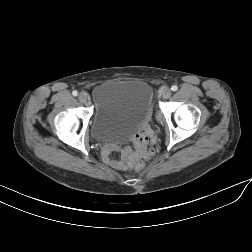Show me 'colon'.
<instances>
[{
	"mask_svg": "<svg viewBox=\"0 0 252 252\" xmlns=\"http://www.w3.org/2000/svg\"><path fill=\"white\" fill-rule=\"evenodd\" d=\"M152 154H153V151L151 150L150 152H148L147 154H146V158L147 159H150L151 157H152ZM144 166H145V163H144V161L143 160H139V161H137L136 162V164H135V168H136V170H142L143 168H144Z\"/></svg>",
	"mask_w": 252,
	"mask_h": 252,
	"instance_id": "1",
	"label": "colon"
}]
</instances>
